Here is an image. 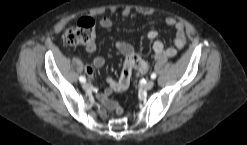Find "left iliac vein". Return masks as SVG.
<instances>
[{"mask_svg":"<svg viewBox=\"0 0 247 145\" xmlns=\"http://www.w3.org/2000/svg\"><path fill=\"white\" fill-rule=\"evenodd\" d=\"M154 84L155 83L153 80H149L143 85V87L147 90H150L151 88H153Z\"/></svg>","mask_w":247,"mask_h":145,"instance_id":"obj_1","label":"left iliac vein"}]
</instances>
